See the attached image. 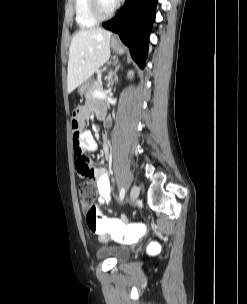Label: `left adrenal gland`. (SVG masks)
I'll use <instances>...</instances> for the list:
<instances>
[{
	"mask_svg": "<svg viewBox=\"0 0 247 304\" xmlns=\"http://www.w3.org/2000/svg\"><path fill=\"white\" fill-rule=\"evenodd\" d=\"M118 67L116 68L115 72L112 73V75H114L117 71ZM112 75L110 77V82H109V85H113L114 84V80L112 79Z\"/></svg>",
	"mask_w": 247,
	"mask_h": 304,
	"instance_id": "obj_1",
	"label": "left adrenal gland"
}]
</instances>
